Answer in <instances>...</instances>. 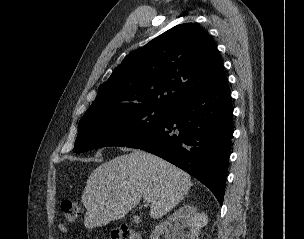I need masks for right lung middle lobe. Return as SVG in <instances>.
I'll use <instances>...</instances> for the list:
<instances>
[{
    "instance_id": "dd1d6c3e",
    "label": "right lung middle lobe",
    "mask_w": 304,
    "mask_h": 239,
    "mask_svg": "<svg viewBox=\"0 0 304 239\" xmlns=\"http://www.w3.org/2000/svg\"><path fill=\"white\" fill-rule=\"evenodd\" d=\"M167 109L154 106L116 108L84 117L78 125L73 152L105 146H126L155 130Z\"/></svg>"
}]
</instances>
